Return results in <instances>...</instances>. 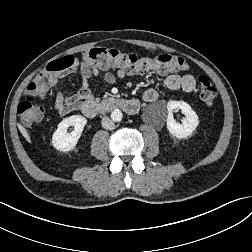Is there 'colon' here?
Instances as JSON below:
<instances>
[{
  "label": "colon",
  "mask_w": 252,
  "mask_h": 252,
  "mask_svg": "<svg viewBox=\"0 0 252 252\" xmlns=\"http://www.w3.org/2000/svg\"><path fill=\"white\" fill-rule=\"evenodd\" d=\"M83 61L93 67L108 69L120 68L133 72L155 70L159 73L180 72L187 69L186 61L177 56L162 54L155 57H145L136 53H125L115 48L94 47L82 53ZM74 64L71 56L62 57L50 62L38 72L28 84L26 95L18 105V114L25 126H31L42 120L44 107L35 103L36 97L43 96L49 87ZM198 93L200 99L207 105L213 106L217 101V90L206 76H199Z\"/></svg>",
  "instance_id": "1"
}]
</instances>
